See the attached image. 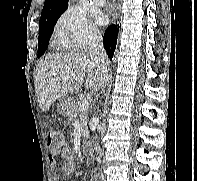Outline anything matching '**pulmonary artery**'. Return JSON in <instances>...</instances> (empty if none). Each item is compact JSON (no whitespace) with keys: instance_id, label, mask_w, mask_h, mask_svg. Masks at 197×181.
<instances>
[{"instance_id":"pulmonary-artery-1","label":"pulmonary artery","mask_w":197,"mask_h":181,"mask_svg":"<svg viewBox=\"0 0 197 181\" xmlns=\"http://www.w3.org/2000/svg\"><path fill=\"white\" fill-rule=\"evenodd\" d=\"M92 1L97 6H103L106 2V0H92Z\"/></svg>"}]
</instances>
